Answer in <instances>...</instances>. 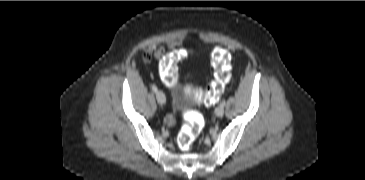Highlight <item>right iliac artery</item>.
Returning a JSON list of instances; mask_svg holds the SVG:
<instances>
[{
  "label": "right iliac artery",
  "mask_w": 365,
  "mask_h": 180,
  "mask_svg": "<svg viewBox=\"0 0 365 180\" xmlns=\"http://www.w3.org/2000/svg\"><path fill=\"white\" fill-rule=\"evenodd\" d=\"M152 90H153V92H155V93H157L158 92V89H157V87H156V85H152Z\"/></svg>",
  "instance_id": "1"
}]
</instances>
